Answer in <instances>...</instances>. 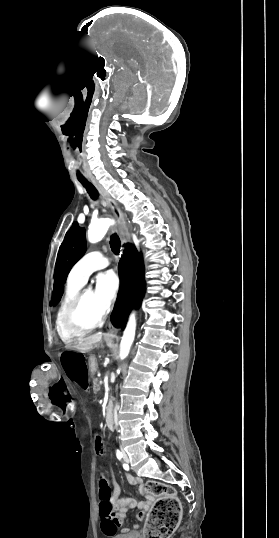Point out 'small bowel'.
<instances>
[{"label":"small bowel","instance_id":"c3829d8e","mask_svg":"<svg viewBox=\"0 0 279 538\" xmlns=\"http://www.w3.org/2000/svg\"><path fill=\"white\" fill-rule=\"evenodd\" d=\"M126 479L128 483L132 486H138L141 493L146 496V500H142L140 502H137L133 498H127V499H120V487L117 484V482L113 479V495H112V502L114 506L117 508L118 512L111 518H104L102 522V530L106 535L115 533L118 531V529H121V532L126 533L129 531V529L124 525L125 520L127 518V513L130 509L138 508L137 513V519L142 520L145 515L146 511L148 509L150 499L147 493L144 490L143 481L139 477H135L131 475L130 473H126ZM134 529L138 528V524L133 525Z\"/></svg>","mask_w":279,"mask_h":538}]
</instances>
